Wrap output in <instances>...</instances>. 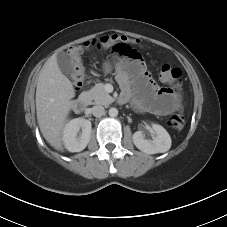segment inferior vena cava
<instances>
[{"mask_svg": "<svg viewBox=\"0 0 227 227\" xmlns=\"http://www.w3.org/2000/svg\"><path fill=\"white\" fill-rule=\"evenodd\" d=\"M92 114H93L95 117H101L102 115L105 114V109H104V107L101 106V105L93 106V107H92Z\"/></svg>", "mask_w": 227, "mask_h": 227, "instance_id": "1", "label": "inferior vena cava"}]
</instances>
